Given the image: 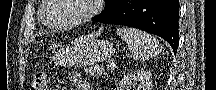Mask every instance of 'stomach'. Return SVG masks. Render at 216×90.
<instances>
[{
    "label": "stomach",
    "mask_w": 216,
    "mask_h": 90,
    "mask_svg": "<svg viewBox=\"0 0 216 90\" xmlns=\"http://www.w3.org/2000/svg\"><path fill=\"white\" fill-rule=\"evenodd\" d=\"M113 52L114 48L112 43L104 40H93L83 46L57 56L55 62L59 65H96L110 58Z\"/></svg>",
    "instance_id": "0dacf381"
}]
</instances>
